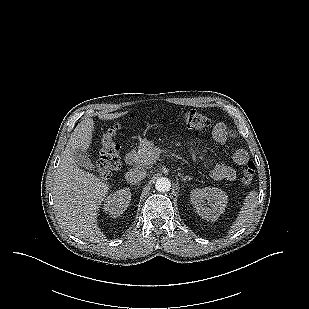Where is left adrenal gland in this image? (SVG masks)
<instances>
[{
    "mask_svg": "<svg viewBox=\"0 0 309 309\" xmlns=\"http://www.w3.org/2000/svg\"><path fill=\"white\" fill-rule=\"evenodd\" d=\"M192 180L190 176H185L181 178V181Z\"/></svg>",
    "mask_w": 309,
    "mask_h": 309,
    "instance_id": "left-adrenal-gland-1",
    "label": "left adrenal gland"
}]
</instances>
